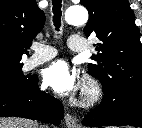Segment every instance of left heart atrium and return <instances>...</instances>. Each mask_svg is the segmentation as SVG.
<instances>
[{"instance_id": "39dd6f15", "label": "left heart atrium", "mask_w": 142, "mask_h": 128, "mask_svg": "<svg viewBox=\"0 0 142 128\" xmlns=\"http://www.w3.org/2000/svg\"><path fill=\"white\" fill-rule=\"evenodd\" d=\"M43 79L46 86L59 94H67L77 86L74 71L63 60H58L46 68Z\"/></svg>"}]
</instances>
